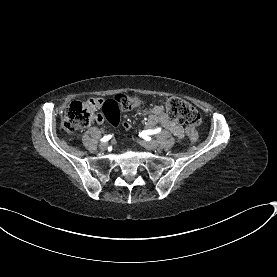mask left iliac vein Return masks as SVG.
<instances>
[{
	"instance_id": "left-iliac-vein-1",
	"label": "left iliac vein",
	"mask_w": 277,
	"mask_h": 277,
	"mask_svg": "<svg viewBox=\"0 0 277 277\" xmlns=\"http://www.w3.org/2000/svg\"><path fill=\"white\" fill-rule=\"evenodd\" d=\"M140 144L143 145L148 150H154L159 146L156 140L140 141Z\"/></svg>"
}]
</instances>
